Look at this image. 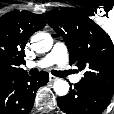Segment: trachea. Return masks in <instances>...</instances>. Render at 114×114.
Returning <instances> with one entry per match:
<instances>
[{
  "label": "trachea",
  "instance_id": "3493384b",
  "mask_svg": "<svg viewBox=\"0 0 114 114\" xmlns=\"http://www.w3.org/2000/svg\"><path fill=\"white\" fill-rule=\"evenodd\" d=\"M37 73H38V69L36 68L30 70L31 75H35ZM51 73L57 77H65L68 74V72L56 71V70H52Z\"/></svg>",
  "mask_w": 114,
  "mask_h": 114
}]
</instances>
